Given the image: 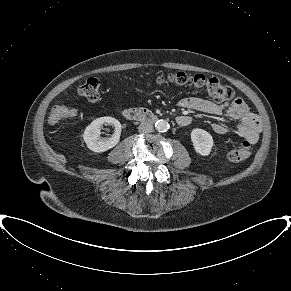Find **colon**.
<instances>
[{
	"instance_id": "5ec220e1",
	"label": "colon",
	"mask_w": 291,
	"mask_h": 291,
	"mask_svg": "<svg viewBox=\"0 0 291 291\" xmlns=\"http://www.w3.org/2000/svg\"><path fill=\"white\" fill-rule=\"evenodd\" d=\"M154 84L165 86L174 85L178 87H190L205 90L208 95L217 103H225L233 99V89L222 83L216 77H207L202 74L188 75L183 72H171L160 74L155 79ZM77 94L89 101H96L100 95V82L97 78H88L77 88ZM74 109L65 106H55L50 114L52 123L68 121L75 116ZM251 155V146L247 141H239L228 154V158L233 162L246 160Z\"/></svg>"
}]
</instances>
